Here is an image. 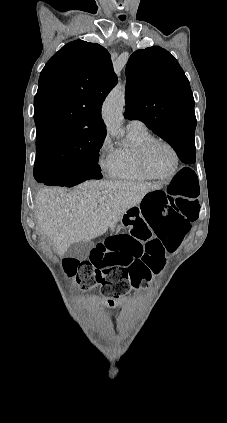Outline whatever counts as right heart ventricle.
<instances>
[{"label": "right heart ventricle", "instance_id": "e07e8e85", "mask_svg": "<svg viewBox=\"0 0 227 423\" xmlns=\"http://www.w3.org/2000/svg\"><path fill=\"white\" fill-rule=\"evenodd\" d=\"M149 138L151 135L146 128L128 129V145L114 150L115 166L112 177L123 180L147 179L138 167L136 152L139 146Z\"/></svg>", "mask_w": 227, "mask_h": 423}]
</instances>
